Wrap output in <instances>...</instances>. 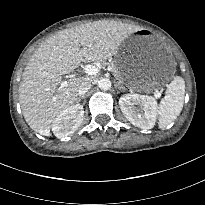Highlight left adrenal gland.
Instances as JSON below:
<instances>
[{
    "mask_svg": "<svg viewBox=\"0 0 205 205\" xmlns=\"http://www.w3.org/2000/svg\"><path fill=\"white\" fill-rule=\"evenodd\" d=\"M117 87H118L120 90H125V87L122 86L120 82H117Z\"/></svg>",
    "mask_w": 205,
    "mask_h": 205,
    "instance_id": "obj_1",
    "label": "left adrenal gland"
}]
</instances>
